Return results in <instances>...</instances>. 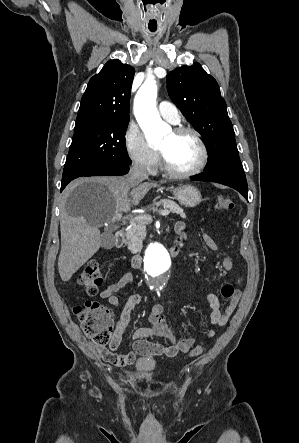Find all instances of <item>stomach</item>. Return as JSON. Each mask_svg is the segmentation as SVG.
<instances>
[{
	"instance_id": "1",
	"label": "stomach",
	"mask_w": 299,
	"mask_h": 443,
	"mask_svg": "<svg viewBox=\"0 0 299 443\" xmlns=\"http://www.w3.org/2000/svg\"><path fill=\"white\" fill-rule=\"evenodd\" d=\"M175 198L185 207H195L202 201L200 191L191 185L172 189Z\"/></svg>"
}]
</instances>
